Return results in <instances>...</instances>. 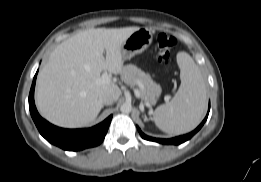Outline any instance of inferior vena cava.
I'll use <instances>...</instances> for the list:
<instances>
[{
	"instance_id": "1",
	"label": "inferior vena cava",
	"mask_w": 261,
	"mask_h": 182,
	"mask_svg": "<svg viewBox=\"0 0 261 182\" xmlns=\"http://www.w3.org/2000/svg\"><path fill=\"white\" fill-rule=\"evenodd\" d=\"M101 101L104 105H111L114 102V98L111 95L107 94L101 98Z\"/></svg>"
}]
</instances>
